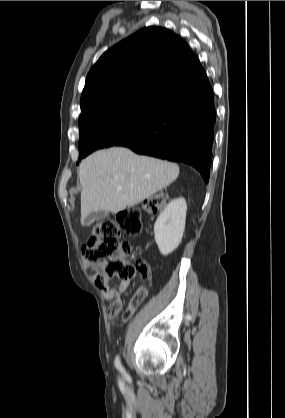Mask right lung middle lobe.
Instances as JSON below:
<instances>
[{"instance_id":"dd1d6c3e","label":"right lung middle lobe","mask_w":285,"mask_h":418,"mask_svg":"<svg viewBox=\"0 0 285 418\" xmlns=\"http://www.w3.org/2000/svg\"><path fill=\"white\" fill-rule=\"evenodd\" d=\"M166 105L138 100L109 105L79 120V160L93 151L115 146L151 124Z\"/></svg>"}]
</instances>
